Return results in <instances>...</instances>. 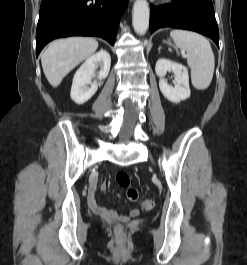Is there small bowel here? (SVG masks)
Instances as JSON below:
<instances>
[{"label": "small bowel", "mask_w": 247, "mask_h": 265, "mask_svg": "<svg viewBox=\"0 0 247 265\" xmlns=\"http://www.w3.org/2000/svg\"><path fill=\"white\" fill-rule=\"evenodd\" d=\"M105 188H106V185L104 184V185H102L101 190H105ZM88 203H89L90 209L94 213H96L102 217H105L107 219H110V220L120 219V220L126 221L129 217H137L139 215V210L133 209L130 212L129 217L128 216H119L115 210L107 209V208H104V207L98 205L94 189L91 190V192L89 194Z\"/></svg>", "instance_id": "obj_1"}]
</instances>
